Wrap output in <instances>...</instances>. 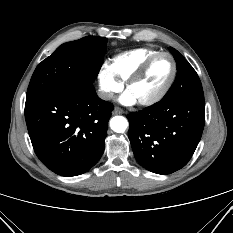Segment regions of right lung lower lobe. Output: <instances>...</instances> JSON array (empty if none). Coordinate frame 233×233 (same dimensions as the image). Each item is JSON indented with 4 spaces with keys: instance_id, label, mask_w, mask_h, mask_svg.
<instances>
[{
    "instance_id": "right-lung-lower-lobe-1",
    "label": "right lung lower lobe",
    "mask_w": 233,
    "mask_h": 233,
    "mask_svg": "<svg viewBox=\"0 0 233 233\" xmlns=\"http://www.w3.org/2000/svg\"><path fill=\"white\" fill-rule=\"evenodd\" d=\"M112 110L92 83L26 101L25 119L37 157L61 176L87 172L104 152Z\"/></svg>"
}]
</instances>
